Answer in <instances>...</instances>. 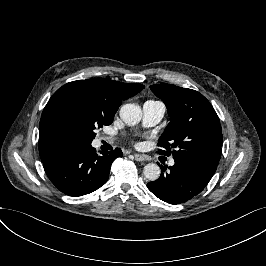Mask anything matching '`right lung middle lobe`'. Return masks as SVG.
Listing matches in <instances>:
<instances>
[{"mask_svg":"<svg viewBox=\"0 0 266 266\" xmlns=\"http://www.w3.org/2000/svg\"><path fill=\"white\" fill-rule=\"evenodd\" d=\"M54 118L65 143H91L94 130L113 122L116 110L109 107L102 93L87 86L63 91L53 104Z\"/></svg>","mask_w":266,"mask_h":266,"instance_id":"1","label":"right lung middle lobe"}]
</instances>
